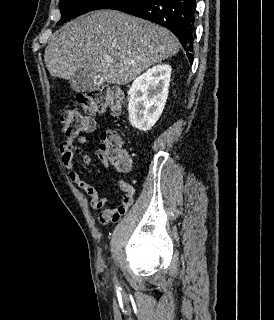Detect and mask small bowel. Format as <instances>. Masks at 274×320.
Masks as SVG:
<instances>
[{"label": "small bowel", "instance_id": "1", "mask_svg": "<svg viewBox=\"0 0 274 320\" xmlns=\"http://www.w3.org/2000/svg\"><path fill=\"white\" fill-rule=\"evenodd\" d=\"M84 124L87 126L85 131H93L95 129L94 119H85ZM92 143V139L87 136L67 137L59 146L60 160L70 180L89 197L91 208L94 210L102 209L98 217L100 223L108 225L117 222L126 213L133 203L135 189L130 183L118 177L117 184L124 195L115 207L104 208L108 201L107 197L100 196L96 187L84 181L74 167L75 156H80L85 166L91 163V157L82 150L81 146H90ZM97 155L100 158H105V152L100 148ZM122 161H133V159L131 155L125 151ZM131 169L132 168H119L121 172H129Z\"/></svg>", "mask_w": 274, "mask_h": 320}]
</instances>
